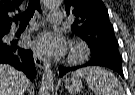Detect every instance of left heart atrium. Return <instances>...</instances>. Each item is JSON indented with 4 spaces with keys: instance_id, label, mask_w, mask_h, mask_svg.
I'll return each instance as SVG.
<instances>
[{
    "instance_id": "obj_1",
    "label": "left heart atrium",
    "mask_w": 135,
    "mask_h": 95,
    "mask_svg": "<svg viewBox=\"0 0 135 95\" xmlns=\"http://www.w3.org/2000/svg\"><path fill=\"white\" fill-rule=\"evenodd\" d=\"M31 48L42 56H61L65 53L66 44L61 36L43 33L31 42Z\"/></svg>"
}]
</instances>
